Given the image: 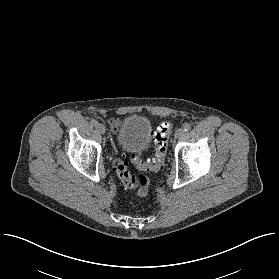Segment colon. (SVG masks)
I'll return each instance as SVG.
<instances>
[{
	"label": "colon",
	"instance_id": "1",
	"mask_svg": "<svg viewBox=\"0 0 279 279\" xmlns=\"http://www.w3.org/2000/svg\"><path fill=\"white\" fill-rule=\"evenodd\" d=\"M171 129L172 123L169 121H163L154 132L155 157L153 160L145 161L139 153H132L129 155L131 162L144 171L159 170L164 164L168 136ZM112 168L125 187L136 189L141 195L148 193V179L142 175H132L128 169L127 160L124 156L115 158L112 163Z\"/></svg>",
	"mask_w": 279,
	"mask_h": 279
}]
</instances>
